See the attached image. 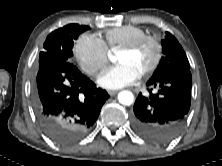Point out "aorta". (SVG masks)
<instances>
[{"instance_id": "aorta-1", "label": "aorta", "mask_w": 222, "mask_h": 166, "mask_svg": "<svg viewBox=\"0 0 222 166\" xmlns=\"http://www.w3.org/2000/svg\"><path fill=\"white\" fill-rule=\"evenodd\" d=\"M118 100L122 105H131L134 101V95L128 90L121 91L118 94Z\"/></svg>"}]
</instances>
